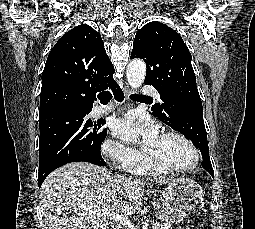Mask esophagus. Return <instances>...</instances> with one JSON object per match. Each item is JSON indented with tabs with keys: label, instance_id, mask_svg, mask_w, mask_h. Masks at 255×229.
<instances>
[{
	"label": "esophagus",
	"instance_id": "esophagus-1",
	"mask_svg": "<svg viewBox=\"0 0 255 229\" xmlns=\"http://www.w3.org/2000/svg\"><path fill=\"white\" fill-rule=\"evenodd\" d=\"M133 93L132 89L128 86L125 85L124 86V94L126 96L127 99H129V96Z\"/></svg>",
	"mask_w": 255,
	"mask_h": 229
}]
</instances>
